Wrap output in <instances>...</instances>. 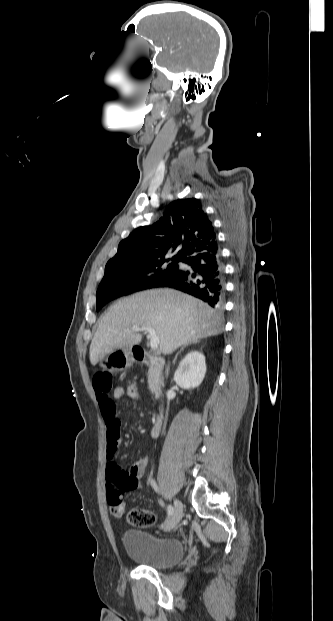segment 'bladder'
I'll return each instance as SVG.
<instances>
[{
    "label": "bladder",
    "instance_id": "obj_1",
    "mask_svg": "<svg viewBox=\"0 0 333 621\" xmlns=\"http://www.w3.org/2000/svg\"><path fill=\"white\" fill-rule=\"evenodd\" d=\"M123 544L133 562L154 569L175 565L185 555V547L181 540L159 537L141 529L126 530L123 534Z\"/></svg>",
    "mask_w": 333,
    "mask_h": 621
}]
</instances>
